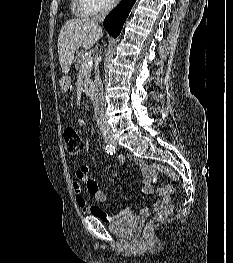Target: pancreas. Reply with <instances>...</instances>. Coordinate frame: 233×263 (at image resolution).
Listing matches in <instances>:
<instances>
[{
	"label": "pancreas",
	"mask_w": 233,
	"mask_h": 263,
	"mask_svg": "<svg viewBox=\"0 0 233 263\" xmlns=\"http://www.w3.org/2000/svg\"><path fill=\"white\" fill-rule=\"evenodd\" d=\"M87 57H85L84 52L83 51H78L77 52V57L75 59V67L77 70L82 71L84 73V76L86 79H90L91 76V71H92V67L89 68H82V65L84 63V61L86 60ZM91 89H92V84H88L85 88V93L86 94H90L91 93Z\"/></svg>",
	"instance_id": "cf45deb5"
}]
</instances>
